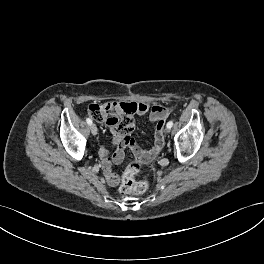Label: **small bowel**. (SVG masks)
I'll return each instance as SVG.
<instances>
[{"instance_id":"small-bowel-1","label":"small bowel","mask_w":264,"mask_h":264,"mask_svg":"<svg viewBox=\"0 0 264 264\" xmlns=\"http://www.w3.org/2000/svg\"><path fill=\"white\" fill-rule=\"evenodd\" d=\"M137 106V114H149V119L152 123H158L159 121H165L169 116V109L161 105H151L148 103H135ZM113 132V145L115 151L111 154L107 147L101 146L99 149V156L101 159L102 167L106 180L109 185L116 186L119 183L118 175L112 170V164H119L124 159V151L126 148L132 150V152L137 156L141 157L144 162H150L156 157V155L162 149V146L156 143L150 150H142L135 142V140L124 133Z\"/></svg>"}]
</instances>
